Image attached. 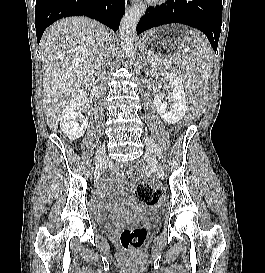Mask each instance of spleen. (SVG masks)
Wrapping results in <instances>:
<instances>
[{"instance_id": "1", "label": "spleen", "mask_w": 265, "mask_h": 273, "mask_svg": "<svg viewBox=\"0 0 265 273\" xmlns=\"http://www.w3.org/2000/svg\"><path fill=\"white\" fill-rule=\"evenodd\" d=\"M193 38V43L196 48V57L198 66L201 69L202 78H209L212 73V49L209 43L199 34L188 31Z\"/></svg>"}]
</instances>
